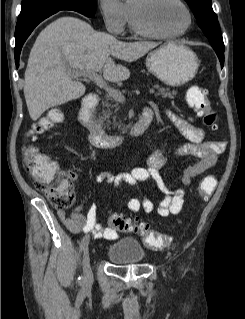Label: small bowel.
Here are the masks:
<instances>
[{"label": "small bowel", "instance_id": "1", "mask_svg": "<svg viewBox=\"0 0 245 319\" xmlns=\"http://www.w3.org/2000/svg\"><path fill=\"white\" fill-rule=\"evenodd\" d=\"M153 117L150 107L144 109ZM167 116L180 134L189 142L182 145L176 151V155H189L195 159L183 172L181 184L189 186L193 178L211 168L217 161L219 155L225 150V143L219 140H205V132L196 126L192 117L179 116L168 110ZM169 157L162 154L156 147L150 150L145 166L133 168L129 172L116 175L100 173L96 176L98 183H108L118 188L122 185L132 187L136 195L127 196V207L132 213L144 212L151 214L156 211L160 216H169L180 212L184 202V189L169 188L164 183L160 171L167 164ZM141 183H153L165 193L163 200L155 206L148 196L141 190ZM86 200L82 199L79 206L68 215L59 210L58 217L66 227L74 233H88L97 239L115 240L119 238L120 232L113 227L103 226L97 221V206L91 204L84 214Z\"/></svg>", "mask_w": 245, "mask_h": 319}]
</instances>
